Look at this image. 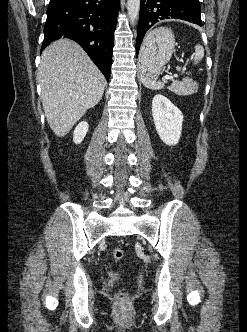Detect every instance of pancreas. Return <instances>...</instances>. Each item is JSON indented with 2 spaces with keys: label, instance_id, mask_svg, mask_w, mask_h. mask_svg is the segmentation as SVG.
Segmentation results:
<instances>
[{
  "label": "pancreas",
  "instance_id": "1",
  "mask_svg": "<svg viewBox=\"0 0 247 332\" xmlns=\"http://www.w3.org/2000/svg\"><path fill=\"white\" fill-rule=\"evenodd\" d=\"M185 82L188 84V83H189V80H185Z\"/></svg>",
  "mask_w": 247,
  "mask_h": 332
}]
</instances>
